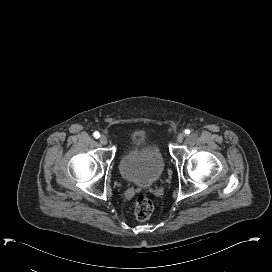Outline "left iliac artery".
I'll use <instances>...</instances> for the list:
<instances>
[{"mask_svg": "<svg viewBox=\"0 0 272 272\" xmlns=\"http://www.w3.org/2000/svg\"><path fill=\"white\" fill-rule=\"evenodd\" d=\"M185 134H187V135L190 134V130H189V129H186V130H185Z\"/></svg>", "mask_w": 272, "mask_h": 272, "instance_id": "44dca946", "label": "left iliac artery"}]
</instances>
